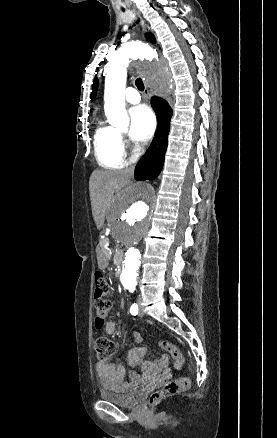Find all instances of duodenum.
Here are the masks:
<instances>
[{
  "mask_svg": "<svg viewBox=\"0 0 277 438\" xmlns=\"http://www.w3.org/2000/svg\"><path fill=\"white\" fill-rule=\"evenodd\" d=\"M123 259H124V254H123V252L122 251H117L115 254H114V262H115V264L117 265V266H121L122 265V263H123Z\"/></svg>",
  "mask_w": 277,
  "mask_h": 438,
  "instance_id": "obj_1",
  "label": "duodenum"
}]
</instances>
